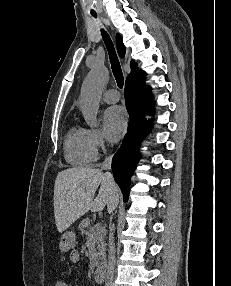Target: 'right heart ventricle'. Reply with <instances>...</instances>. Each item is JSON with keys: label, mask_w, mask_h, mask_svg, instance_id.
<instances>
[{"label": "right heart ventricle", "mask_w": 231, "mask_h": 286, "mask_svg": "<svg viewBox=\"0 0 231 286\" xmlns=\"http://www.w3.org/2000/svg\"><path fill=\"white\" fill-rule=\"evenodd\" d=\"M64 157L74 166H86L97 160L98 154L93 147L88 129L73 125L64 139Z\"/></svg>", "instance_id": "obj_1"}]
</instances>
